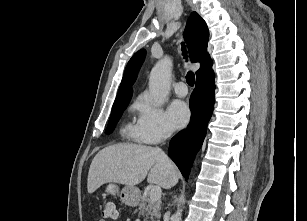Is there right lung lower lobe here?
<instances>
[{
  "mask_svg": "<svg viewBox=\"0 0 307 221\" xmlns=\"http://www.w3.org/2000/svg\"><path fill=\"white\" fill-rule=\"evenodd\" d=\"M214 90V78L196 80L195 89L190 97V123L187 129L175 135L169 144L168 154L186 179L207 132V124L213 112Z\"/></svg>",
  "mask_w": 307,
  "mask_h": 221,
  "instance_id": "98d812e1",
  "label": "right lung lower lobe"
}]
</instances>
